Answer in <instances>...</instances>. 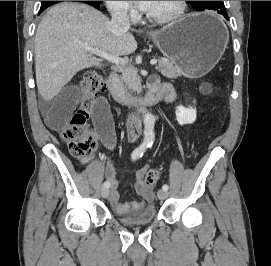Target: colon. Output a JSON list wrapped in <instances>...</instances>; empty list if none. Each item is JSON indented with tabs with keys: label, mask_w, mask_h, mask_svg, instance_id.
Listing matches in <instances>:
<instances>
[{
	"label": "colon",
	"mask_w": 271,
	"mask_h": 266,
	"mask_svg": "<svg viewBox=\"0 0 271 266\" xmlns=\"http://www.w3.org/2000/svg\"><path fill=\"white\" fill-rule=\"evenodd\" d=\"M80 89L83 99L63 131L69 150L75 157H84L96 147V138L88 129L87 121L100 93L103 91V80L97 72L88 71L80 82ZM158 180L159 172L156 169H149L142 185L151 190Z\"/></svg>",
	"instance_id": "5ec220e1"
}]
</instances>
